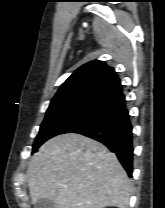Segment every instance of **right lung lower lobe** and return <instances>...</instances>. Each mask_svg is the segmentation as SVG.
<instances>
[{"instance_id":"1","label":"right lung lower lobe","mask_w":165,"mask_h":208,"mask_svg":"<svg viewBox=\"0 0 165 208\" xmlns=\"http://www.w3.org/2000/svg\"><path fill=\"white\" fill-rule=\"evenodd\" d=\"M125 104L122 92L106 98L61 134L78 133L103 143L117 155L129 177H132V126Z\"/></svg>"}]
</instances>
